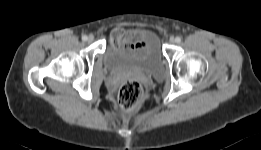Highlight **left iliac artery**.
I'll return each instance as SVG.
<instances>
[{
    "label": "left iliac artery",
    "instance_id": "1",
    "mask_svg": "<svg viewBox=\"0 0 261 150\" xmlns=\"http://www.w3.org/2000/svg\"><path fill=\"white\" fill-rule=\"evenodd\" d=\"M175 41H176L177 43H180V42H181V38H180V37H176V38H175Z\"/></svg>",
    "mask_w": 261,
    "mask_h": 150
}]
</instances>
